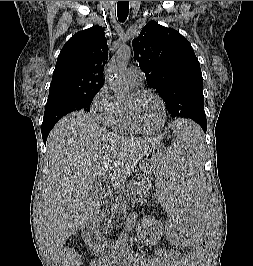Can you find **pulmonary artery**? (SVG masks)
I'll use <instances>...</instances> for the list:
<instances>
[{
    "mask_svg": "<svg viewBox=\"0 0 253 266\" xmlns=\"http://www.w3.org/2000/svg\"><path fill=\"white\" fill-rule=\"evenodd\" d=\"M125 76H126L127 82L133 87H138L142 84L143 73L136 66L129 67L126 70Z\"/></svg>",
    "mask_w": 253,
    "mask_h": 266,
    "instance_id": "1",
    "label": "pulmonary artery"
}]
</instances>
